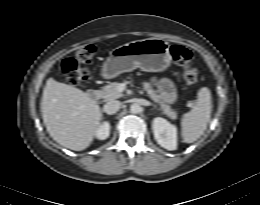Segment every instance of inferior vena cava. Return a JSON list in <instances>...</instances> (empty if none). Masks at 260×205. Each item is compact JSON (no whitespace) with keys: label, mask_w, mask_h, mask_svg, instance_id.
<instances>
[{"label":"inferior vena cava","mask_w":260,"mask_h":205,"mask_svg":"<svg viewBox=\"0 0 260 205\" xmlns=\"http://www.w3.org/2000/svg\"><path fill=\"white\" fill-rule=\"evenodd\" d=\"M121 107V102L117 100L109 101L104 105V111L109 114H115Z\"/></svg>","instance_id":"602c4592"}]
</instances>
